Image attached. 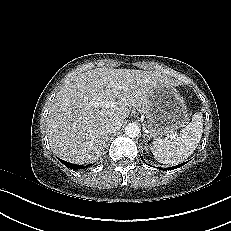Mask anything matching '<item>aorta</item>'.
I'll return each mask as SVG.
<instances>
[{"instance_id":"1","label":"aorta","mask_w":231,"mask_h":231,"mask_svg":"<svg viewBox=\"0 0 231 231\" xmlns=\"http://www.w3.org/2000/svg\"><path fill=\"white\" fill-rule=\"evenodd\" d=\"M140 128L136 123H130L125 127V134L128 137L135 138L139 135Z\"/></svg>"}]
</instances>
